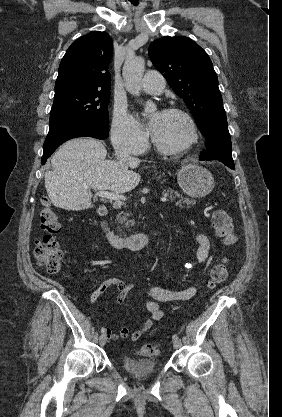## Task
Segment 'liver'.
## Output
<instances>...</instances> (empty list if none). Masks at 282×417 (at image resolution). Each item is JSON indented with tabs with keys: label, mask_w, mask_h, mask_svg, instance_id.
I'll use <instances>...</instances> for the list:
<instances>
[{
	"label": "liver",
	"mask_w": 282,
	"mask_h": 417,
	"mask_svg": "<svg viewBox=\"0 0 282 417\" xmlns=\"http://www.w3.org/2000/svg\"><path fill=\"white\" fill-rule=\"evenodd\" d=\"M107 150L96 138L80 136L67 140L52 156V170L45 172L47 194L54 206L67 211L91 209L92 192L133 190L141 178L136 168L139 158L106 160Z\"/></svg>",
	"instance_id": "liver-1"
}]
</instances>
